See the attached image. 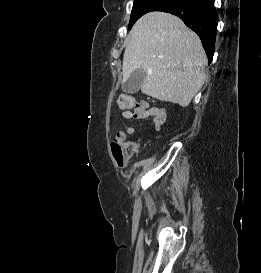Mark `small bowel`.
Returning a JSON list of instances; mask_svg holds the SVG:
<instances>
[{
    "label": "small bowel",
    "mask_w": 261,
    "mask_h": 273,
    "mask_svg": "<svg viewBox=\"0 0 261 273\" xmlns=\"http://www.w3.org/2000/svg\"><path fill=\"white\" fill-rule=\"evenodd\" d=\"M144 114L143 116L137 118V119H146L148 117H151L153 120V128L154 130H159V128L164 124L165 120H166V112L163 108L161 107H152V108H148L147 104L144 103ZM123 112H122V116L123 118L127 119V120H131L134 118V112L130 109L127 108H122ZM134 133V128L132 126H127L125 128V134L126 135H132ZM132 153H138V147L135 146L134 150Z\"/></svg>",
    "instance_id": "1"
}]
</instances>
